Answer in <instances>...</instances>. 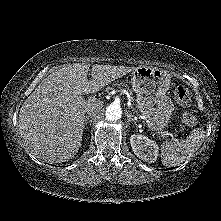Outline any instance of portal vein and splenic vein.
Listing matches in <instances>:
<instances>
[{"label":"portal vein and splenic vein","mask_w":221,"mask_h":221,"mask_svg":"<svg viewBox=\"0 0 221 221\" xmlns=\"http://www.w3.org/2000/svg\"><path fill=\"white\" fill-rule=\"evenodd\" d=\"M169 136V137H171L173 140H175V138H174V136L171 134V133H166V134H162V136Z\"/></svg>","instance_id":"obj_1"}]
</instances>
